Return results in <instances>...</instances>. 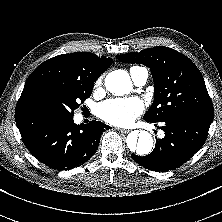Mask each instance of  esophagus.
Returning a JSON list of instances; mask_svg holds the SVG:
<instances>
[{
	"label": "esophagus",
	"instance_id": "34e87169",
	"mask_svg": "<svg viewBox=\"0 0 222 222\" xmlns=\"http://www.w3.org/2000/svg\"><path fill=\"white\" fill-rule=\"evenodd\" d=\"M117 130L123 134H126V133H129L130 130H127V129H120V128H117Z\"/></svg>",
	"mask_w": 222,
	"mask_h": 222
}]
</instances>
